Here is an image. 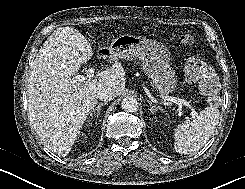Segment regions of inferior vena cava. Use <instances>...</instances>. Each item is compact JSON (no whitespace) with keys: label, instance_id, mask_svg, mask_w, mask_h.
Masks as SVG:
<instances>
[{"label":"inferior vena cava","instance_id":"1","mask_svg":"<svg viewBox=\"0 0 245 189\" xmlns=\"http://www.w3.org/2000/svg\"><path fill=\"white\" fill-rule=\"evenodd\" d=\"M115 96H116L115 93L110 89H103L98 94V98L104 102L113 100Z\"/></svg>","mask_w":245,"mask_h":189}]
</instances>
